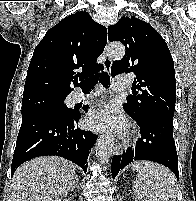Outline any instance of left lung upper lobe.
Instances as JSON below:
<instances>
[{
  "mask_svg": "<svg viewBox=\"0 0 196 201\" xmlns=\"http://www.w3.org/2000/svg\"><path fill=\"white\" fill-rule=\"evenodd\" d=\"M108 40L120 41L126 53L115 61L111 74L134 72L133 86L141 93L127 97L124 110L135 120L150 114L174 116L176 82L174 62L165 40L145 21L123 16L108 27Z\"/></svg>",
  "mask_w": 196,
  "mask_h": 201,
  "instance_id": "5c2ea615",
  "label": "left lung upper lobe"
}]
</instances>
